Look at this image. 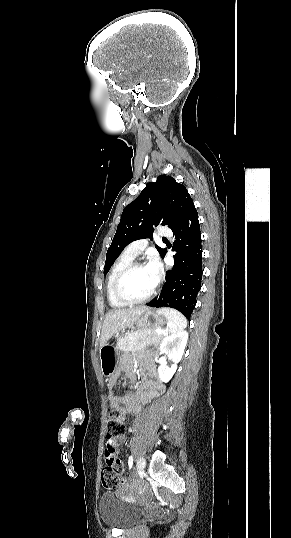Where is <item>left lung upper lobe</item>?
<instances>
[{"label":"left lung upper lobe","instance_id":"1","mask_svg":"<svg viewBox=\"0 0 291 538\" xmlns=\"http://www.w3.org/2000/svg\"><path fill=\"white\" fill-rule=\"evenodd\" d=\"M195 209L187 189L170 176H158L150 182L132 203L127 205L121 215L115 236L106 254L104 274L131 242L152 238L153 226L168 225L174 230L177 225ZM161 257L166 249L155 246Z\"/></svg>","mask_w":291,"mask_h":538}]
</instances>
